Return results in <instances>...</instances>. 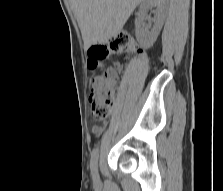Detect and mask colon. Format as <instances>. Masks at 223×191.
<instances>
[{
  "label": "colon",
  "instance_id": "1",
  "mask_svg": "<svg viewBox=\"0 0 223 191\" xmlns=\"http://www.w3.org/2000/svg\"><path fill=\"white\" fill-rule=\"evenodd\" d=\"M131 48L130 37L120 34L106 44L92 46L88 51V66L91 69L99 67V60L110 53L120 52ZM116 76V69L103 67V72L91 78L89 101L92 106V116L96 120H105L113 108L112 86Z\"/></svg>",
  "mask_w": 223,
  "mask_h": 191
}]
</instances>
